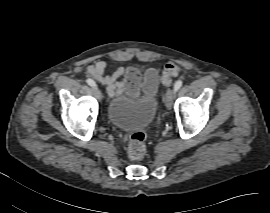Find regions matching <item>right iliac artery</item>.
Masks as SVG:
<instances>
[{
  "label": "right iliac artery",
  "mask_w": 270,
  "mask_h": 213,
  "mask_svg": "<svg viewBox=\"0 0 270 213\" xmlns=\"http://www.w3.org/2000/svg\"><path fill=\"white\" fill-rule=\"evenodd\" d=\"M86 82L88 83V85H90L92 87H96V83L92 79H87Z\"/></svg>",
  "instance_id": "right-iliac-artery-1"
}]
</instances>
